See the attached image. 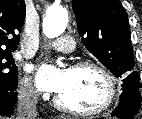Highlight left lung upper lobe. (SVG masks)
Here are the masks:
<instances>
[{
	"instance_id": "left-lung-upper-lobe-1",
	"label": "left lung upper lobe",
	"mask_w": 142,
	"mask_h": 119,
	"mask_svg": "<svg viewBox=\"0 0 142 119\" xmlns=\"http://www.w3.org/2000/svg\"><path fill=\"white\" fill-rule=\"evenodd\" d=\"M84 46L116 77L122 90L139 89L127 14L119 0H72Z\"/></svg>"
}]
</instances>
